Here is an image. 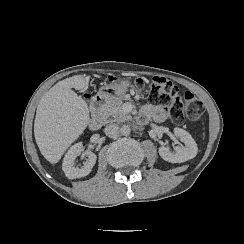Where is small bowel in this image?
I'll return each instance as SVG.
<instances>
[{
	"label": "small bowel",
	"mask_w": 244,
	"mask_h": 244,
	"mask_svg": "<svg viewBox=\"0 0 244 244\" xmlns=\"http://www.w3.org/2000/svg\"><path fill=\"white\" fill-rule=\"evenodd\" d=\"M140 117L143 122L154 120L161 123L168 119L169 114L161 106L146 104L141 109Z\"/></svg>",
	"instance_id": "obj_1"
}]
</instances>
